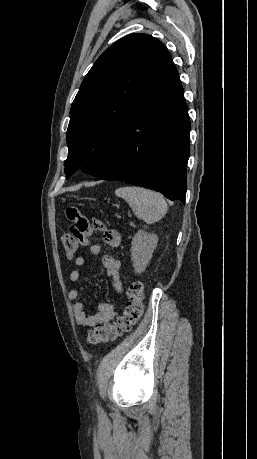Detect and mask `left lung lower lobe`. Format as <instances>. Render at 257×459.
I'll list each match as a JSON object with an SVG mask.
<instances>
[{
  "label": "left lung lower lobe",
  "instance_id": "left-lung-lower-lobe-1",
  "mask_svg": "<svg viewBox=\"0 0 257 459\" xmlns=\"http://www.w3.org/2000/svg\"><path fill=\"white\" fill-rule=\"evenodd\" d=\"M190 119L171 56L145 87L115 134L95 180H116L185 202Z\"/></svg>",
  "mask_w": 257,
  "mask_h": 459
}]
</instances>
